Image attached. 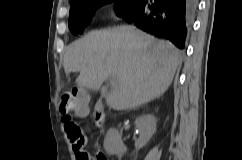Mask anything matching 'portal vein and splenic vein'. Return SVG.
<instances>
[{
	"instance_id": "1",
	"label": "portal vein and splenic vein",
	"mask_w": 242,
	"mask_h": 160,
	"mask_svg": "<svg viewBox=\"0 0 242 160\" xmlns=\"http://www.w3.org/2000/svg\"><path fill=\"white\" fill-rule=\"evenodd\" d=\"M110 84L113 86L115 84V80L113 78H110Z\"/></svg>"
}]
</instances>
